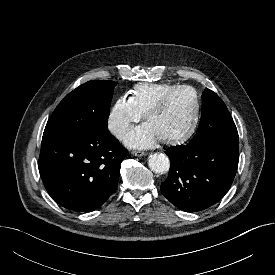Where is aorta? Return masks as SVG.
Returning <instances> with one entry per match:
<instances>
[{"instance_id": "obj_1", "label": "aorta", "mask_w": 275, "mask_h": 275, "mask_svg": "<svg viewBox=\"0 0 275 275\" xmlns=\"http://www.w3.org/2000/svg\"><path fill=\"white\" fill-rule=\"evenodd\" d=\"M148 166L154 173L163 174L169 170L170 161L165 154L154 153L148 158Z\"/></svg>"}]
</instances>
